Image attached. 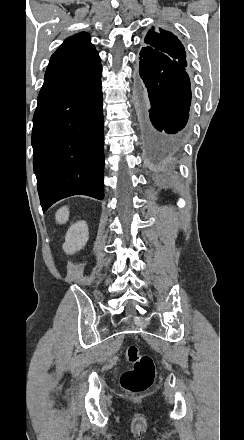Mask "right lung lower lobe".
I'll use <instances>...</instances> for the list:
<instances>
[{
    "label": "right lung lower lobe",
    "mask_w": 244,
    "mask_h": 440,
    "mask_svg": "<svg viewBox=\"0 0 244 440\" xmlns=\"http://www.w3.org/2000/svg\"><path fill=\"white\" fill-rule=\"evenodd\" d=\"M102 68L45 75L33 117V166L45 212L72 196L104 197Z\"/></svg>",
    "instance_id": "98d812e1"
}]
</instances>
